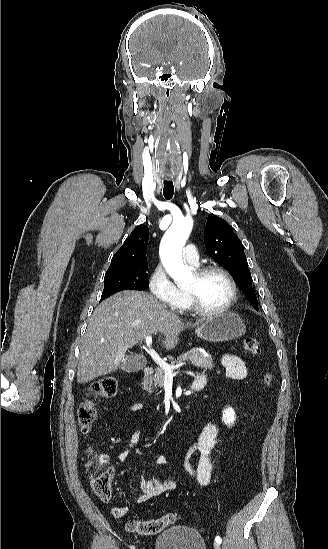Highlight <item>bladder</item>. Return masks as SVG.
Instances as JSON below:
<instances>
[{
	"label": "bladder",
	"instance_id": "31cf9c89",
	"mask_svg": "<svg viewBox=\"0 0 328 549\" xmlns=\"http://www.w3.org/2000/svg\"><path fill=\"white\" fill-rule=\"evenodd\" d=\"M155 549H204L199 532L188 526L170 528L158 534Z\"/></svg>",
	"mask_w": 328,
	"mask_h": 549
}]
</instances>
